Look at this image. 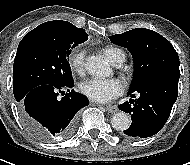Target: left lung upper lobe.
Instances as JSON below:
<instances>
[{"label": "left lung upper lobe", "mask_w": 190, "mask_h": 165, "mask_svg": "<svg viewBox=\"0 0 190 165\" xmlns=\"http://www.w3.org/2000/svg\"><path fill=\"white\" fill-rule=\"evenodd\" d=\"M109 38L111 42L127 48L132 54L135 73L130 90L154 77H180L177 52L171 43L157 32L137 28Z\"/></svg>", "instance_id": "1"}]
</instances>
